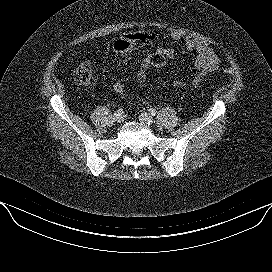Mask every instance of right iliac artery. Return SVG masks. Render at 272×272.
<instances>
[{"label": "right iliac artery", "mask_w": 272, "mask_h": 272, "mask_svg": "<svg viewBox=\"0 0 272 272\" xmlns=\"http://www.w3.org/2000/svg\"><path fill=\"white\" fill-rule=\"evenodd\" d=\"M117 113H118V114H122V113H123V109H122V108H119V109L117 110Z\"/></svg>", "instance_id": "right-iliac-artery-1"}]
</instances>
